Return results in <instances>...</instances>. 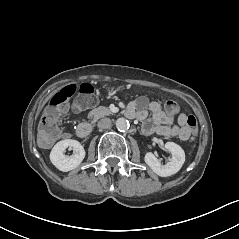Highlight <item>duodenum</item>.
Segmentation results:
<instances>
[{
  "instance_id": "obj_1",
  "label": "duodenum",
  "mask_w": 239,
  "mask_h": 239,
  "mask_svg": "<svg viewBox=\"0 0 239 239\" xmlns=\"http://www.w3.org/2000/svg\"><path fill=\"white\" fill-rule=\"evenodd\" d=\"M92 130H93V127L90 123L83 122V123L79 124L77 127V135L80 138H86V137L90 136V134L92 133Z\"/></svg>"
}]
</instances>
